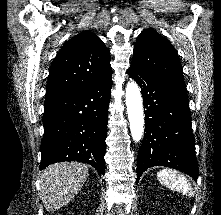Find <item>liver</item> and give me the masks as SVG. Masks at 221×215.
Returning <instances> with one entry per match:
<instances>
[{
	"mask_svg": "<svg viewBox=\"0 0 221 215\" xmlns=\"http://www.w3.org/2000/svg\"><path fill=\"white\" fill-rule=\"evenodd\" d=\"M88 165L61 162L47 167L41 174V200L48 211L58 210L68 204L88 177Z\"/></svg>",
	"mask_w": 221,
	"mask_h": 215,
	"instance_id": "liver-1",
	"label": "liver"
}]
</instances>
